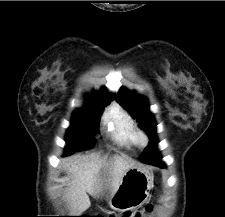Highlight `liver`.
<instances>
[{"label":"liver","mask_w":225,"mask_h":217,"mask_svg":"<svg viewBox=\"0 0 225 217\" xmlns=\"http://www.w3.org/2000/svg\"><path fill=\"white\" fill-rule=\"evenodd\" d=\"M133 166H135L133 160L118 155L109 159L96 158L94 161L70 160L65 166L67 174L72 176L66 198L74 214H81L90 207L87 193L99 197L104 190H108L110 196H114L125 172Z\"/></svg>","instance_id":"obj_1"}]
</instances>
